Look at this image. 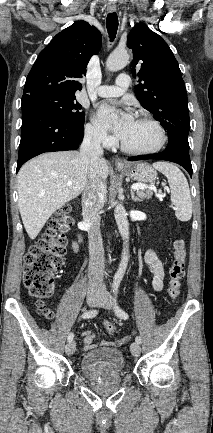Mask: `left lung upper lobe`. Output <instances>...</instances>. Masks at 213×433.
Wrapping results in <instances>:
<instances>
[{"label": "left lung upper lobe", "instance_id": "left-lung-upper-lobe-1", "mask_svg": "<svg viewBox=\"0 0 213 433\" xmlns=\"http://www.w3.org/2000/svg\"><path fill=\"white\" fill-rule=\"evenodd\" d=\"M127 46L133 51L134 77L139 76L135 95L143 108L167 131L169 140L187 145L190 127L185 84L168 44L147 25L138 23L130 31Z\"/></svg>", "mask_w": 213, "mask_h": 433}]
</instances>
